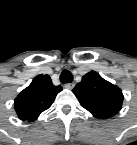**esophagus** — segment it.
Returning <instances> with one entry per match:
<instances>
[{
	"mask_svg": "<svg viewBox=\"0 0 137 145\" xmlns=\"http://www.w3.org/2000/svg\"><path fill=\"white\" fill-rule=\"evenodd\" d=\"M74 86H75L74 83H66V84H64V87L67 88V89H73Z\"/></svg>",
	"mask_w": 137,
	"mask_h": 145,
	"instance_id": "esophagus-1",
	"label": "esophagus"
}]
</instances>
